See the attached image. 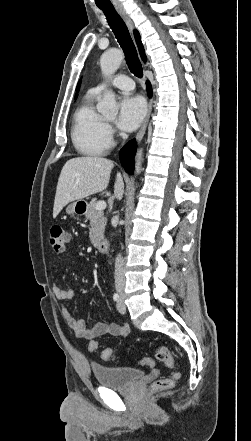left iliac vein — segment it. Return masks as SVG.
I'll use <instances>...</instances> for the list:
<instances>
[{
	"label": "left iliac vein",
	"mask_w": 251,
	"mask_h": 441,
	"mask_svg": "<svg viewBox=\"0 0 251 441\" xmlns=\"http://www.w3.org/2000/svg\"><path fill=\"white\" fill-rule=\"evenodd\" d=\"M117 310L119 311V313L124 314L126 312V306L124 304V299L123 296L121 295L118 303H117Z\"/></svg>",
	"instance_id": "obj_1"
}]
</instances>
